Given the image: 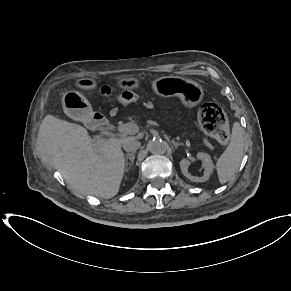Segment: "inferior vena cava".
Instances as JSON below:
<instances>
[{
	"instance_id": "inferior-vena-cava-1",
	"label": "inferior vena cava",
	"mask_w": 291,
	"mask_h": 291,
	"mask_svg": "<svg viewBox=\"0 0 291 291\" xmlns=\"http://www.w3.org/2000/svg\"><path fill=\"white\" fill-rule=\"evenodd\" d=\"M141 146L140 141L138 140H133V141H129L123 144V149L127 152H135L136 150H138Z\"/></svg>"
}]
</instances>
